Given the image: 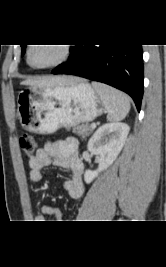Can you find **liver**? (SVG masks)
I'll use <instances>...</instances> for the list:
<instances>
[{
	"label": "liver",
	"mask_w": 166,
	"mask_h": 267,
	"mask_svg": "<svg viewBox=\"0 0 166 267\" xmlns=\"http://www.w3.org/2000/svg\"><path fill=\"white\" fill-rule=\"evenodd\" d=\"M78 81L80 80L74 77L55 76V77H44L37 80H25L21 82V84L29 86H37V87H53V86L73 85Z\"/></svg>",
	"instance_id": "6515ba94"
}]
</instances>
